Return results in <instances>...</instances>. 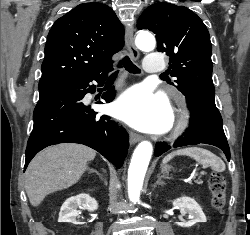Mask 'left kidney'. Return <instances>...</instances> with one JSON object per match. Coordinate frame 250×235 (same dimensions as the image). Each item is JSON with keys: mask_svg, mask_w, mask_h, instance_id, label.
<instances>
[{"mask_svg": "<svg viewBox=\"0 0 250 235\" xmlns=\"http://www.w3.org/2000/svg\"><path fill=\"white\" fill-rule=\"evenodd\" d=\"M173 206L179 207L182 214H188L190 220L179 222L181 227H191L199 222H206V216L199 204L190 197H181L173 201Z\"/></svg>", "mask_w": 250, "mask_h": 235, "instance_id": "obj_1", "label": "left kidney"}]
</instances>
